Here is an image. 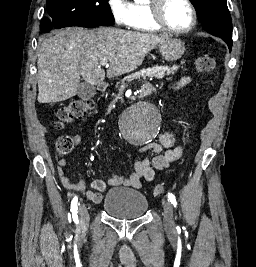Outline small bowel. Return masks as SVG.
<instances>
[{"mask_svg": "<svg viewBox=\"0 0 256 267\" xmlns=\"http://www.w3.org/2000/svg\"><path fill=\"white\" fill-rule=\"evenodd\" d=\"M190 81L188 76L180 78L173 83V89H179ZM142 92L147 95L151 92L149 87H144ZM190 134L187 132L184 138V145L189 141ZM81 142V136L76 135L73 138V146H78ZM175 135L171 131L162 133L157 142L151 143L143 147L140 154L153 152L155 156L149 160L148 158H138L134 163V169L129 175L112 174L105 182L100 179L93 180L91 190L86 192V197L94 202L100 203L102 195L109 187L129 186L138 188L142 181H152L155 177V170L167 168L172 162L178 160L183 152L184 145L175 146ZM166 149L164 152H162ZM57 174L62 185L69 191L83 192L87 183L84 179L77 182L71 180L65 173L67 160L65 157L56 156Z\"/></svg>", "mask_w": 256, "mask_h": 267, "instance_id": "1", "label": "small bowel"}]
</instances>
